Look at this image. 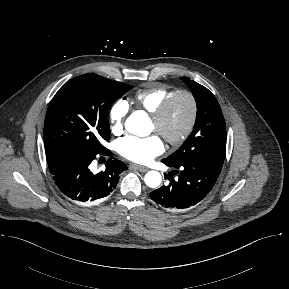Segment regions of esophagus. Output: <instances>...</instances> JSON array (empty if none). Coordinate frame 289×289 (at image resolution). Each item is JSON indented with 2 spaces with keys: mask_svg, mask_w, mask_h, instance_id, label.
Listing matches in <instances>:
<instances>
[{
  "mask_svg": "<svg viewBox=\"0 0 289 289\" xmlns=\"http://www.w3.org/2000/svg\"><path fill=\"white\" fill-rule=\"evenodd\" d=\"M132 168H135L141 172H147L149 170L148 167H145V166H141V165H137V164H131L130 165Z\"/></svg>",
  "mask_w": 289,
  "mask_h": 289,
  "instance_id": "34e87169",
  "label": "esophagus"
}]
</instances>
